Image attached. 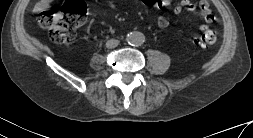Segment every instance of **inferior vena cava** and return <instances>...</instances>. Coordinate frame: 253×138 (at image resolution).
Listing matches in <instances>:
<instances>
[{
  "mask_svg": "<svg viewBox=\"0 0 253 138\" xmlns=\"http://www.w3.org/2000/svg\"><path fill=\"white\" fill-rule=\"evenodd\" d=\"M119 45V40H116V39H110L106 42V47L107 48H115Z\"/></svg>",
  "mask_w": 253,
  "mask_h": 138,
  "instance_id": "1",
  "label": "inferior vena cava"
}]
</instances>
